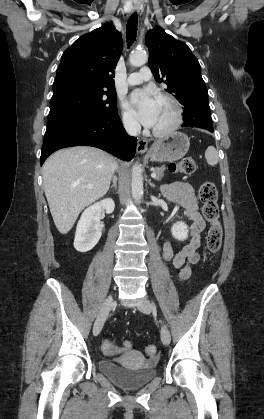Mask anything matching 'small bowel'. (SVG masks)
<instances>
[{
	"instance_id": "obj_1",
	"label": "small bowel",
	"mask_w": 264,
	"mask_h": 419,
	"mask_svg": "<svg viewBox=\"0 0 264 419\" xmlns=\"http://www.w3.org/2000/svg\"><path fill=\"white\" fill-rule=\"evenodd\" d=\"M162 192L172 203L178 204L183 208L184 215L192 221L189 229V237L178 252H175L169 240H165L163 245V258L170 262L174 269L178 270V279L189 278L192 267L199 263L200 253L198 249L201 245V233L205 228V221L198 211V202L193 187L186 182H176L165 184ZM128 344V348L123 345ZM131 343L124 341L121 345L113 344L110 348L102 347L106 355L119 356L130 352Z\"/></svg>"
}]
</instances>
